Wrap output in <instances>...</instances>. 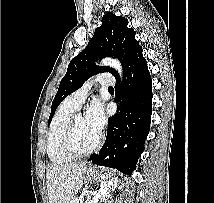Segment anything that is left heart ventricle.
I'll return each instance as SVG.
<instances>
[{
	"mask_svg": "<svg viewBox=\"0 0 214 203\" xmlns=\"http://www.w3.org/2000/svg\"><path fill=\"white\" fill-rule=\"evenodd\" d=\"M99 132L95 131L86 122L83 116H79L76 120L74 144L80 151L91 148L98 138Z\"/></svg>",
	"mask_w": 214,
	"mask_h": 203,
	"instance_id": "left-heart-ventricle-1",
	"label": "left heart ventricle"
}]
</instances>
